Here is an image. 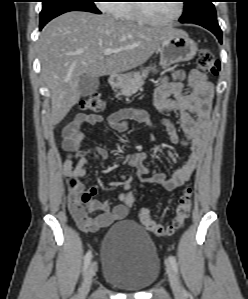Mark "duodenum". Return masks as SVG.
I'll return each instance as SVG.
<instances>
[{
  "instance_id": "1",
  "label": "duodenum",
  "mask_w": 248,
  "mask_h": 299,
  "mask_svg": "<svg viewBox=\"0 0 248 299\" xmlns=\"http://www.w3.org/2000/svg\"><path fill=\"white\" fill-rule=\"evenodd\" d=\"M120 83V77L119 76H112L110 78V84L111 86L115 87Z\"/></svg>"
}]
</instances>
